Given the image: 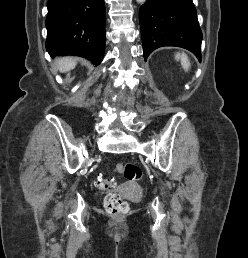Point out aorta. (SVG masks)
Listing matches in <instances>:
<instances>
[{
  "mask_svg": "<svg viewBox=\"0 0 248 258\" xmlns=\"http://www.w3.org/2000/svg\"><path fill=\"white\" fill-rule=\"evenodd\" d=\"M138 3H144L146 0H136Z\"/></svg>",
  "mask_w": 248,
  "mask_h": 258,
  "instance_id": "1",
  "label": "aorta"
}]
</instances>
